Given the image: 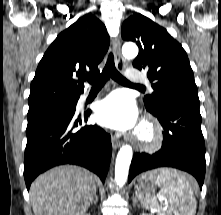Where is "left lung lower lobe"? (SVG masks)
I'll return each instance as SVG.
<instances>
[{
  "instance_id": "0a47b994",
  "label": "left lung lower lobe",
  "mask_w": 221,
  "mask_h": 215,
  "mask_svg": "<svg viewBox=\"0 0 221 215\" xmlns=\"http://www.w3.org/2000/svg\"><path fill=\"white\" fill-rule=\"evenodd\" d=\"M147 110L161 123L164 141L162 148L152 155H134L128 182L141 172L158 167H173L192 174L202 189L206 162L199 105L177 98H166L158 102L156 109Z\"/></svg>"
}]
</instances>
